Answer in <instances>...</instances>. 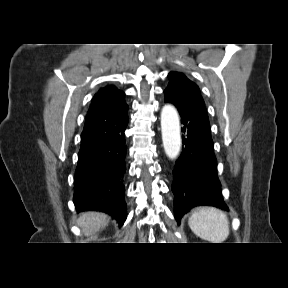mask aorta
Here are the masks:
<instances>
[{"label": "aorta", "instance_id": "1", "mask_svg": "<svg viewBox=\"0 0 288 288\" xmlns=\"http://www.w3.org/2000/svg\"><path fill=\"white\" fill-rule=\"evenodd\" d=\"M161 131L165 153L170 159H175L181 149V136L179 116L171 105L162 108Z\"/></svg>", "mask_w": 288, "mask_h": 288}]
</instances>
